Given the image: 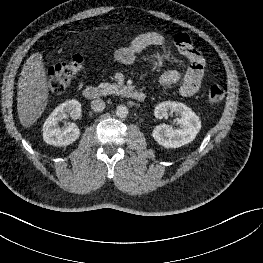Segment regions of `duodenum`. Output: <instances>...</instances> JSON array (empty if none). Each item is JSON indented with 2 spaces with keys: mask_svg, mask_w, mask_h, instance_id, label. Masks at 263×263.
Here are the masks:
<instances>
[{
  "mask_svg": "<svg viewBox=\"0 0 263 263\" xmlns=\"http://www.w3.org/2000/svg\"><path fill=\"white\" fill-rule=\"evenodd\" d=\"M126 96L137 102H143L146 98L144 92L136 90L132 87H126L124 89ZM101 89L97 86L89 85L83 89V96L88 100H94L101 96Z\"/></svg>",
  "mask_w": 263,
  "mask_h": 263,
  "instance_id": "obj_1",
  "label": "duodenum"
}]
</instances>
